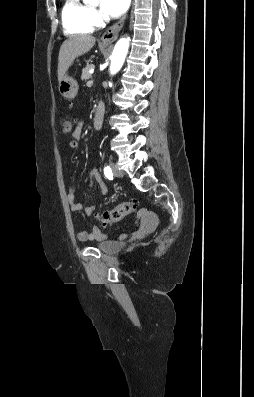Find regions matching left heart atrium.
Listing matches in <instances>:
<instances>
[{
    "label": "left heart atrium",
    "instance_id": "obj_1",
    "mask_svg": "<svg viewBox=\"0 0 254 397\" xmlns=\"http://www.w3.org/2000/svg\"><path fill=\"white\" fill-rule=\"evenodd\" d=\"M130 0H101V11L109 17H119L129 7Z\"/></svg>",
    "mask_w": 254,
    "mask_h": 397
}]
</instances>
